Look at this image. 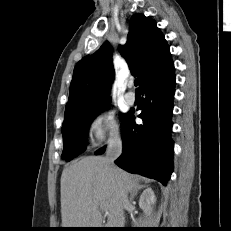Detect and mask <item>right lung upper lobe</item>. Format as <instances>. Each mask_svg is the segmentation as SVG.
<instances>
[{
    "label": "right lung upper lobe",
    "mask_w": 231,
    "mask_h": 231,
    "mask_svg": "<svg viewBox=\"0 0 231 231\" xmlns=\"http://www.w3.org/2000/svg\"><path fill=\"white\" fill-rule=\"evenodd\" d=\"M118 50L129 69L139 79L140 89L148 83L174 73L167 41L156 22L134 14L129 22L125 45ZM112 47L108 41L93 54L81 59L74 68L65 114L87 110L109 101V86L114 77Z\"/></svg>",
    "instance_id": "right-lung-upper-lobe-1"
}]
</instances>
